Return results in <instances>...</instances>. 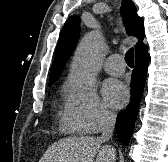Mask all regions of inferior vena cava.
<instances>
[{
	"label": "inferior vena cava",
	"instance_id": "inferior-vena-cava-1",
	"mask_svg": "<svg viewBox=\"0 0 168 162\" xmlns=\"http://www.w3.org/2000/svg\"><path fill=\"white\" fill-rule=\"evenodd\" d=\"M116 123V115L110 111H105L102 116V135L100 139L105 142L108 141L112 135ZM112 150L115 149L112 147Z\"/></svg>",
	"mask_w": 168,
	"mask_h": 162
}]
</instances>
